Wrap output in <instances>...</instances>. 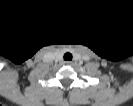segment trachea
Segmentation results:
<instances>
[{
	"label": "trachea",
	"mask_w": 133,
	"mask_h": 106,
	"mask_svg": "<svg viewBox=\"0 0 133 106\" xmlns=\"http://www.w3.org/2000/svg\"><path fill=\"white\" fill-rule=\"evenodd\" d=\"M64 60L71 61L72 60V54L71 53H65L64 54Z\"/></svg>",
	"instance_id": "trachea-1"
}]
</instances>
